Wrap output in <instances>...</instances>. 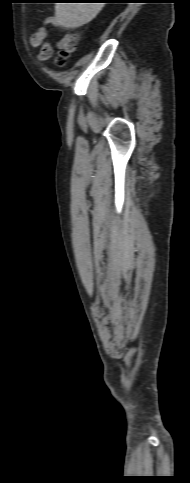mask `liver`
<instances>
[{
	"mask_svg": "<svg viewBox=\"0 0 190 483\" xmlns=\"http://www.w3.org/2000/svg\"><path fill=\"white\" fill-rule=\"evenodd\" d=\"M104 3H56L55 18L59 25L78 28L89 23Z\"/></svg>",
	"mask_w": 190,
	"mask_h": 483,
	"instance_id": "1",
	"label": "liver"
}]
</instances>
